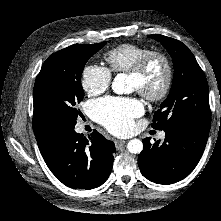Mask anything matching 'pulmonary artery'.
<instances>
[{
  "label": "pulmonary artery",
  "mask_w": 221,
  "mask_h": 221,
  "mask_svg": "<svg viewBox=\"0 0 221 221\" xmlns=\"http://www.w3.org/2000/svg\"><path fill=\"white\" fill-rule=\"evenodd\" d=\"M159 137H160L161 139H163V138L165 137V133H164V132L160 133V134H159Z\"/></svg>",
  "instance_id": "pulmonary-artery-1"
}]
</instances>
